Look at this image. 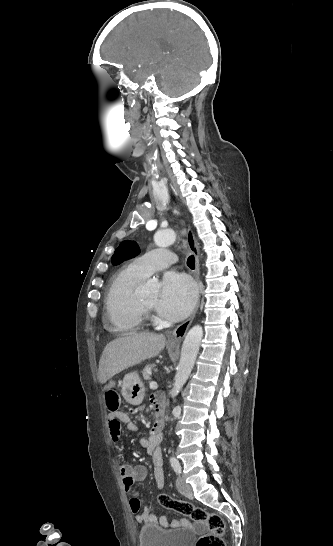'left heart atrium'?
I'll list each match as a JSON object with an SVG mask.
<instances>
[{
    "label": "left heart atrium",
    "mask_w": 333,
    "mask_h": 546,
    "mask_svg": "<svg viewBox=\"0 0 333 546\" xmlns=\"http://www.w3.org/2000/svg\"><path fill=\"white\" fill-rule=\"evenodd\" d=\"M196 290L193 282L184 274L168 272L162 281L158 312L171 321L185 318L193 309Z\"/></svg>",
    "instance_id": "left-heart-atrium-1"
}]
</instances>
